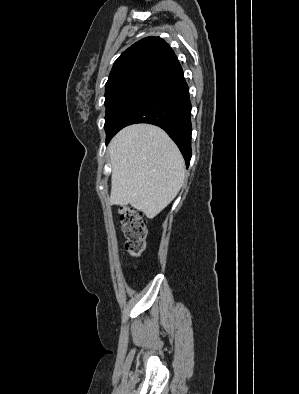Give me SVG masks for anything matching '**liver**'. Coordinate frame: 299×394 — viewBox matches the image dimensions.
Wrapping results in <instances>:
<instances>
[{
  "mask_svg": "<svg viewBox=\"0 0 299 394\" xmlns=\"http://www.w3.org/2000/svg\"><path fill=\"white\" fill-rule=\"evenodd\" d=\"M108 150L111 204H130L152 219L176 197L184 183V159L157 126L130 125L115 135Z\"/></svg>",
  "mask_w": 299,
  "mask_h": 394,
  "instance_id": "obj_1",
  "label": "liver"
}]
</instances>
